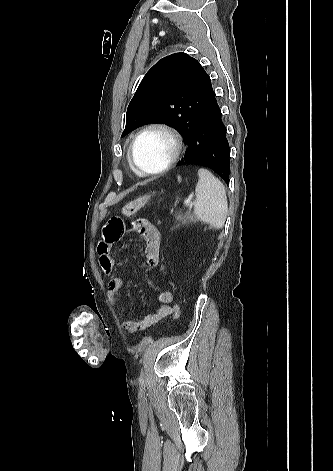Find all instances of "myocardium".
Listing matches in <instances>:
<instances>
[{
  "label": "myocardium",
  "instance_id": "1",
  "mask_svg": "<svg viewBox=\"0 0 333 471\" xmlns=\"http://www.w3.org/2000/svg\"><path fill=\"white\" fill-rule=\"evenodd\" d=\"M152 130H158V131H162V132L166 133L172 141L173 150H172L171 156L169 157L167 162L161 168H159L157 170L149 171V170L143 169L142 167H140L137 164V162L135 160V157H134V149H135L136 143L139 140V138L143 134H145L149 131H152ZM182 148H183L182 137L175 128H173L172 126H170L166 123H163V122H152V123H149V124L143 126L132 138V140L130 142V145H129V149H128V160H129V163H130L131 167L137 173H139L140 175H143V176L158 175V174L166 172L169 168L172 167V165H174L176 163V161L180 157V154L182 152Z\"/></svg>",
  "mask_w": 333,
  "mask_h": 471
}]
</instances>
